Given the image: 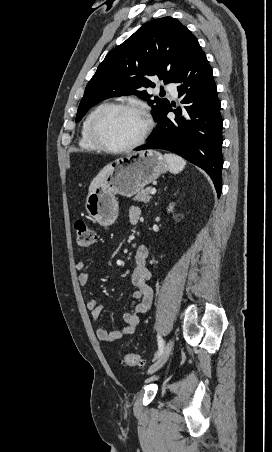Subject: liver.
Segmentation results:
<instances>
[{"instance_id": "liver-1", "label": "liver", "mask_w": 272, "mask_h": 452, "mask_svg": "<svg viewBox=\"0 0 272 452\" xmlns=\"http://www.w3.org/2000/svg\"><path fill=\"white\" fill-rule=\"evenodd\" d=\"M110 165L105 166L98 174L97 176L92 180L90 186H89V193L93 192L96 188L100 186V184L105 179L107 172L109 171Z\"/></svg>"}]
</instances>
